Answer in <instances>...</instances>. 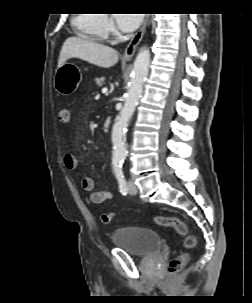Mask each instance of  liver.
Returning a JSON list of instances; mask_svg holds the SVG:
<instances>
[{
  "instance_id": "liver-1",
  "label": "liver",
  "mask_w": 252,
  "mask_h": 303,
  "mask_svg": "<svg viewBox=\"0 0 252 303\" xmlns=\"http://www.w3.org/2000/svg\"><path fill=\"white\" fill-rule=\"evenodd\" d=\"M70 58H79L96 66L109 68L118 62V52L88 39L69 37L60 51L58 67Z\"/></svg>"
}]
</instances>
